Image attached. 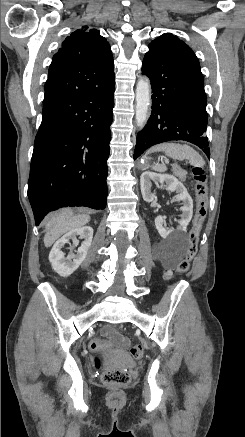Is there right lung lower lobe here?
<instances>
[{
    "mask_svg": "<svg viewBox=\"0 0 245 437\" xmlns=\"http://www.w3.org/2000/svg\"><path fill=\"white\" fill-rule=\"evenodd\" d=\"M114 91L115 79L43 109L28 181L36 225L63 206L105 209Z\"/></svg>",
    "mask_w": 245,
    "mask_h": 437,
    "instance_id": "right-lung-lower-lobe-1",
    "label": "right lung lower lobe"
}]
</instances>
